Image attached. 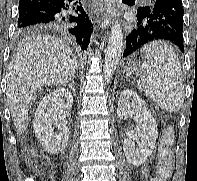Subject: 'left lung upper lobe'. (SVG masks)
I'll use <instances>...</instances> for the list:
<instances>
[{
    "instance_id": "5c2ea615",
    "label": "left lung upper lobe",
    "mask_w": 197,
    "mask_h": 181,
    "mask_svg": "<svg viewBox=\"0 0 197 181\" xmlns=\"http://www.w3.org/2000/svg\"><path fill=\"white\" fill-rule=\"evenodd\" d=\"M155 1L156 0H152L150 6H143V7L138 8V10H137V18H144V17H146L151 12L152 6H153Z\"/></svg>"
}]
</instances>
